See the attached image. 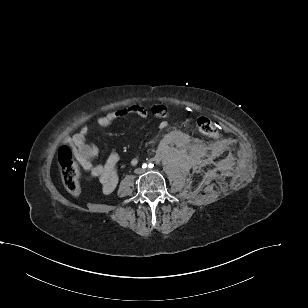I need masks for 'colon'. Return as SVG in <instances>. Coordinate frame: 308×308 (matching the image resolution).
Here are the masks:
<instances>
[{
    "label": "colon",
    "mask_w": 308,
    "mask_h": 308,
    "mask_svg": "<svg viewBox=\"0 0 308 308\" xmlns=\"http://www.w3.org/2000/svg\"><path fill=\"white\" fill-rule=\"evenodd\" d=\"M198 130L211 138H218L220 131L218 126L208 117H199L196 121ZM58 162L61 169L62 181L67 189L73 195H79L80 188V167L74 158L72 149L64 145L58 151Z\"/></svg>",
    "instance_id": "obj_1"
}]
</instances>
